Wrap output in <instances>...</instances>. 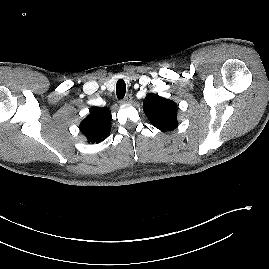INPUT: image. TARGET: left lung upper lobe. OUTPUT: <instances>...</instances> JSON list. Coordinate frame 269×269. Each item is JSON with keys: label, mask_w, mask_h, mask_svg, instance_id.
I'll return each instance as SVG.
<instances>
[{"label": "left lung upper lobe", "mask_w": 269, "mask_h": 269, "mask_svg": "<svg viewBox=\"0 0 269 269\" xmlns=\"http://www.w3.org/2000/svg\"><path fill=\"white\" fill-rule=\"evenodd\" d=\"M143 111L153 126L171 131L178 126L177 105L174 101L156 94H148L143 101Z\"/></svg>", "instance_id": "obj_1"}]
</instances>
